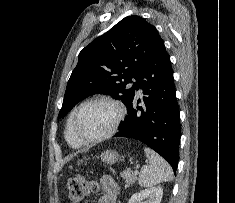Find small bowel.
<instances>
[{"label": "small bowel", "mask_w": 235, "mask_h": 203, "mask_svg": "<svg viewBox=\"0 0 235 203\" xmlns=\"http://www.w3.org/2000/svg\"><path fill=\"white\" fill-rule=\"evenodd\" d=\"M103 195L99 198L98 203H117L119 193L118 183L110 176H104L101 179Z\"/></svg>", "instance_id": "small-bowel-1"}]
</instances>
